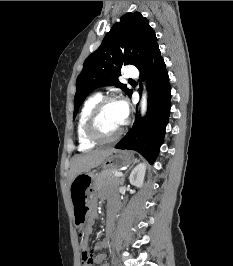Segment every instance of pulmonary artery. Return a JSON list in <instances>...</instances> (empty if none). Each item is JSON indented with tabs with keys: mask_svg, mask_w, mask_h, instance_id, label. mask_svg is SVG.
Returning a JSON list of instances; mask_svg holds the SVG:
<instances>
[{
	"mask_svg": "<svg viewBox=\"0 0 233 266\" xmlns=\"http://www.w3.org/2000/svg\"><path fill=\"white\" fill-rule=\"evenodd\" d=\"M126 76L130 78H137L138 72L135 69L131 68L126 72Z\"/></svg>",
	"mask_w": 233,
	"mask_h": 266,
	"instance_id": "e3ab8cb5",
	"label": "pulmonary artery"
}]
</instances>
